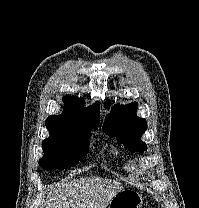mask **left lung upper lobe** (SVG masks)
Masks as SVG:
<instances>
[{"label": "left lung upper lobe", "instance_id": "5c2ea615", "mask_svg": "<svg viewBox=\"0 0 199 208\" xmlns=\"http://www.w3.org/2000/svg\"><path fill=\"white\" fill-rule=\"evenodd\" d=\"M136 109V102L115 106L107 115L103 130L110 136H116L131 152H143L146 144L142 142L141 136L147 129V123L144 118L137 117Z\"/></svg>", "mask_w": 199, "mask_h": 208}]
</instances>
